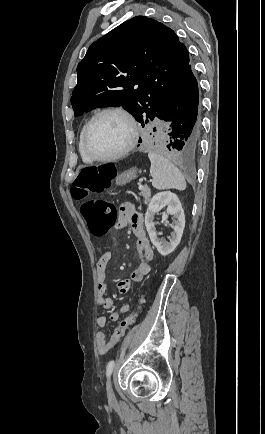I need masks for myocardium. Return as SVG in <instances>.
I'll list each match as a JSON object with an SVG mask.
<instances>
[{
    "label": "myocardium",
    "mask_w": 265,
    "mask_h": 434,
    "mask_svg": "<svg viewBox=\"0 0 265 434\" xmlns=\"http://www.w3.org/2000/svg\"><path fill=\"white\" fill-rule=\"evenodd\" d=\"M107 113H119V114L123 115L127 119V121L129 122L130 129H131V135H130L129 142L124 149L117 152L116 154L101 157V156H97L96 154H94L92 152V150L89 147L88 140H89V136L92 133V129H93L95 122L101 116H103ZM138 138H139V127H138V124H137L136 119L133 116V114L128 109H126L125 107L120 106V105L107 106V107L102 108L99 111H97L90 118V120L87 122L84 135L82 136V139H81V146H82L83 154L91 161L96 162V163H107V162L119 160V159L127 156L130 152H132L133 149L137 145Z\"/></svg>",
    "instance_id": "obj_1"
}]
</instances>
